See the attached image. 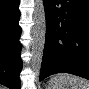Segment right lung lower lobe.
Wrapping results in <instances>:
<instances>
[{
	"mask_svg": "<svg viewBox=\"0 0 89 89\" xmlns=\"http://www.w3.org/2000/svg\"><path fill=\"white\" fill-rule=\"evenodd\" d=\"M20 0H0V84L20 89Z\"/></svg>",
	"mask_w": 89,
	"mask_h": 89,
	"instance_id": "right-lung-lower-lobe-1",
	"label": "right lung lower lobe"
}]
</instances>
